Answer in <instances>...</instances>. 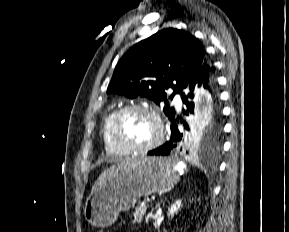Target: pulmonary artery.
Masks as SVG:
<instances>
[{"label":"pulmonary artery","instance_id":"obj_1","mask_svg":"<svg viewBox=\"0 0 289 232\" xmlns=\"http://www.w3.org/2000/svg\"><path fill=\"white\" fill-rule=\"evenodd\" d=\"M174 101H175V104L177 105V107H180L182 105V101H181V98L179 95L175 96Z\"/></svg>","mask_w":289,"mask_h":232}]
</instances>
